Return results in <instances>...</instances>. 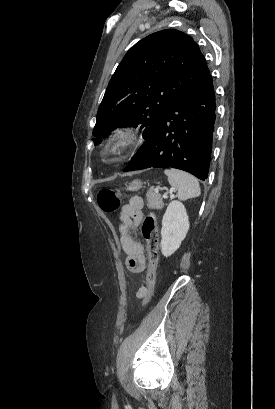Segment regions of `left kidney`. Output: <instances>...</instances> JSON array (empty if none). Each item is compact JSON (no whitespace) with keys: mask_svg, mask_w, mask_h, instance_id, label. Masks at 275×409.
I'll return each mask as SVG.
<instances>
[{"mask_svg":"<svg viewBox=\"0 0 275 409\" xmlns=\"http://www.w3.org/2000/svg\"><path fill=\"white\" fill-rule=\"evenodd\" d=\"M189 229L186 209L180 200H171L162 219L161 253L170 257L179 249Z\"/></svg>","mask_w":275,"mask_h":409,"instance_id":"1","label":"left kidney"}]
</instances>
